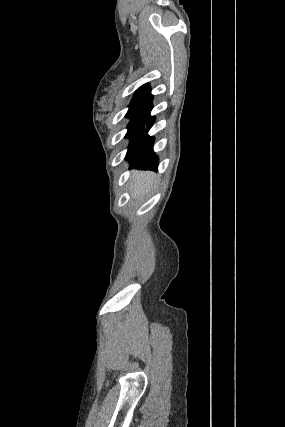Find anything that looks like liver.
<instances>
[{
  "label": "liver",
  "instance_id": "obj_1",
  "mask_svg": "<svg viewBox=\"0 0 285 427\" xmlns=\"http://www.w3.org/2000/svg\"><path fill=\"white\" fill-rule=\"evenodd\" d=\"M153 183H155V175L152 172L134 171L131 176V190L135 198L143 197L150 192Z\"/></svg>",
  "mask_w": 285,
  "mask_h": 427
}]
</instances>
